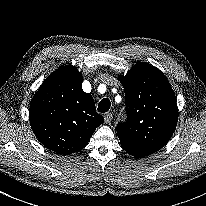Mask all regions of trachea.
Listing matches in <instances>:
<instances>
[{
  "label": "trachea",
  "mask_w": 206,
  "mask_h": 206,
  "mask_svg": "<svg viewBox=\"0 0 206 206\" xmlns=\"http://www.w3.org/2000/svg\"><path fill=\"white\" fill-rule=\"evenodd\" d=\"M111 107V102L108 98H104L102 99L99 104H98V111L100 113H105V112H108V110L110 109Z\"/></svg>",
  "instance_id": "1"
}]
</instances>
